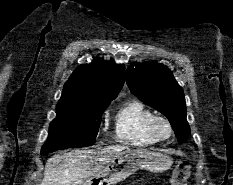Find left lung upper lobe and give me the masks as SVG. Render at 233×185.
Segmentation results:
<instances>
[{"instance_id":"obj_1","label":"left lung upper lobe","mask_w":233,"mask_h":185,"mask_svg":"<svg viewBox=\"0 0 233 185\" xmlns=\"http://www.w3.org/2000/svg\"><path fill=\"white\" fill-rule=\"evenodd\" d=\"M131 92L170 121L179 143L190 135L183 89L172 72L157 62L131 64L126 73Z\"/></svg>"}]
</instances>
